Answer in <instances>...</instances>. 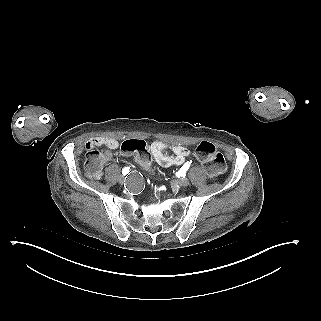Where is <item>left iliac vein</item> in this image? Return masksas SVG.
<instances>
[{"label": "left iliac vein", "mask_w": 321, "mask_h": 321, "mask_svg": "<svg viewBox=\"0 0 321 321\" xmlns=\"http://www.w3.org/2000/svg\"><path fill=\"white\" fill-rule=\"evenodd\" d=\"M175 184L178 187H186L189 185V180H188V178H182V179L175 181Z\"/></svg>", "instance_id": "1"}]
</instances>
